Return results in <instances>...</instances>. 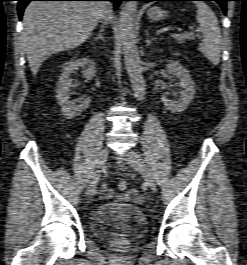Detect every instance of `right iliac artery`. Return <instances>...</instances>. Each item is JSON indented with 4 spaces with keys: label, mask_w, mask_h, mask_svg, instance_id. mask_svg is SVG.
Returning <instances> with one entry per match:
<instances>
[{
    "label": "right iliac artery",
    "mask_w": 247,
    "mask_h": 265,
    "mask_svg": "<svg viewBox=\"0 0 247 265\" xmlns=\"http://www.w3.org/2000/svg\"><path fill=\"white\" fill-rule=\"evenodd\" d=\"M99 177H100V175H99L97 172L94 173V175L92 176V181H91L90 185H91L92 187H94V189H95V185H96V183H97L98 180H99Z\"/></svg>",
    "instance_id": "1"
}]
</instances>
